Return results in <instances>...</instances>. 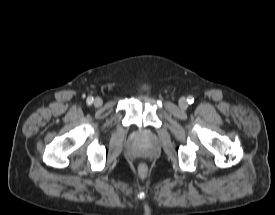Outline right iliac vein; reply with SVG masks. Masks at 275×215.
Segmentation results:
<instances>
[{
    "mask_svg": "<svg viewBox=\"0 0 275 215\" xmlns=\"http://www.w3.org/2000/svg\"><path fill=\"white\" fill-rule=\"evenodd\" d=\"M93 104H94L95 107H100V106H102L103 101H102L101 98L97 97V98L94 99Z\"/></svg>",
    "mask_w": 275,
    "mask_h": 215,
    "instance_id": "obj_1",
    "label": "right iliac vein"
}]
</instances>
